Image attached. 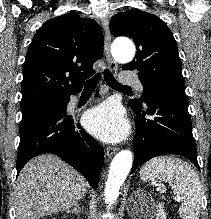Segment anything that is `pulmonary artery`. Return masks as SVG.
<instances>
[{
  "mask_svg": "<svg viewBox=\"0 0 211 219\" xmlns=\"http://www.w3.org/2000/svg\"><path fill=\"white\" fill-rule=\"evenodd\" d=\"M120 80L122 81V83L134 85L140 92L143 91V85L140 80L137 77L130 75L129 73H121ZM74 101L75 100H73V102Z\"/></svg>",
  "mask_w": 211,
  "mask_h": 219,
  "instance_id": "pulmonary-artery-1",
  "label": "pulmonary artery"
}]
</instances>
